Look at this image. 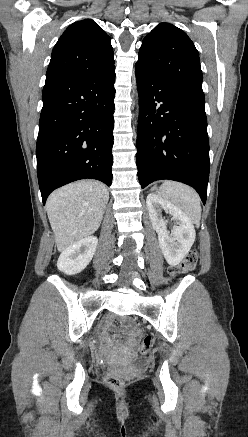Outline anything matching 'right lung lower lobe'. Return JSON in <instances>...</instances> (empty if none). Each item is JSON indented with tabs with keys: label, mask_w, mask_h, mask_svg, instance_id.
<instances>
[{
	"label": "right lung lower lobe",
	"mask_w": 248,
	"mask_h": 437,
	"mask_svg": "<svg viewBox=\"0 0 248 437\" xmlns=\"http://www.w3.org/2000/svg\"><path fill=\"white\" fill-rule=\"evenodd\" d=\"M114 82L115 66L86 77L46 79L36 145L43 204L75 180L111 185Z\"/></svg>",
	"instance_id": "obj_1"
}]
</instances>
